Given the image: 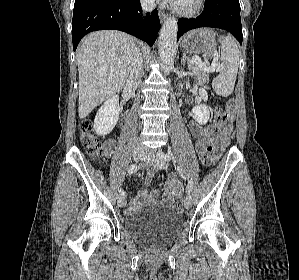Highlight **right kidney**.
Instances as JSON below:
<instances>
[{"label": "right kidney", "instance_id": "right-kidney-1", "mask_svg": "<svg viewBox=\"0 0 299 280\" xmlns=\"http://www.w3.org/2000/svg\"><path fill=\"white\" fill-rule=\"evenodd\" d=\"M119 113V97L114 95L104 102L95 116L94 130L96 134L100 136L109 134L119 119Z\"/></svg>", "mask_w": 299, "mask_h": 280}]
</instances>
